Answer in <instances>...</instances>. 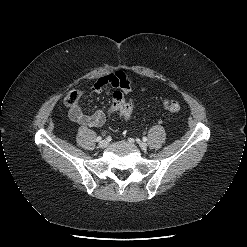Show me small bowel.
Masks as SVG:
<instances>
[{
    "label": "small bowel",
    "mask_w": 247,
    "mask_h": 247,
    "mask_svg": "<svg viewBox=\"0 0 247 247\" xmlns=\"http://www.w3.org/2000/svg\"><path fill=\"white\" fill-rule=\"evenodd\" d=\"M106 86L120 89L128 94L133 90L134 81L124 71L119 70L100 77L94 84L93 91L100 92ZM69 117L72 121L88 127H100L106 121V114L103 111L97 110L92 114H86L78 106L70 108Z\"/></svg>",
    "instance_id": "1"
}]
</instances>
